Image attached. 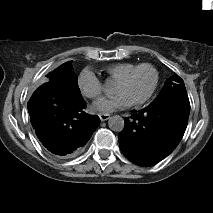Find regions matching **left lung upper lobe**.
<instances>
[{"mask_svg":"<svg viewBox=\"0 0 213 213\" xmlns=\"http://www.w3.org/2000/svg\"><path fill=\"white\" fill-rule=\"evenodd\" d=\"M177 102L190 110V103L187 96L186 88L183 80L174 74L169 80L165 82L160 94L150 104V106H157L164 102Z\"/></svg>","mask_w":213,"mask_h":213,"instance_id":"1","label":"left lung upper lobe"}]
</instances>
